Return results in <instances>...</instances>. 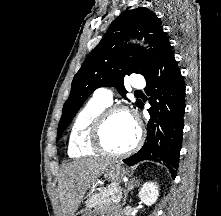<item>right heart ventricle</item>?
<instances>
[{"instance_id":"obj_1","label":"right heart ventricle","mask_w":221,"mask_h":216,"mask_svg":"<svg viewBox=\"0 0 221 216\" xmlns=\"http://www.w3.org/2000/svg\"><path fill=\"white\" fill-rule=\"evenodd\" d=\"M108 107L94 99L90 100L75 117L68 136V154L79 158L91 156L96 151L90 146L89 132L97 117Z\"/></svg>"}]
</instances>
